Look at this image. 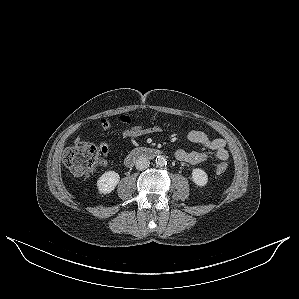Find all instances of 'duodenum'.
<instances>
[{"mask_svg":"<svg viewBox=\"0 0 299 299\" xmlns=\"http://www.w3.org/2000/svg\"><path fill=\"white\" fill-rule=\"evenodd\" d=\"M161 154V151L159 149L155 148H139L132 151L127 157H126V165L128 167H132L137 160L140 159H152Z\"/></svg>","mask_w":299,"mask_h":299,"instance_id":"obj_1","label":"duodenum"}]
</instances>
